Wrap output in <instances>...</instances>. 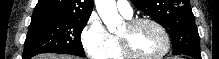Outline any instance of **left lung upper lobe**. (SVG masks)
<instances>
[{"instance_id": "5c2ea615", "label": "left lung upper lobe", "mask_w": 219, "mask_h": 59, "mask_svg": "<svg viewBox=\"0 0 219 59\" xmlns=\"http://www.w3.org/2000/svg\"><path fill=\"white\" fill-rule=\"evenodd\" d=\"M141 11L170 29L173 54L200 53V37L189 0H131Z\"/></svg>"}]
</instances>
